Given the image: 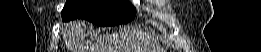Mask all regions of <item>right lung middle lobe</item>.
I'll return each instance as SVG.
<instances>
[{
	"label": "right lung middle lobe",
	"instance_id": "obj_1",
	"mask_svg": "<svg viewBox=\"0 0 261 52\" xmlns=\"http://www.w3.org/2000/svg\"><path fill=\"white\" fill-rule=\"evenodd\" d=\"M135 13L130 3L118 0H67L62 19L83 18L99 26H113L127 23Z\"/></svg>",
	"mask_w": 261,
	"mask_h": 52
}]
</instances>
